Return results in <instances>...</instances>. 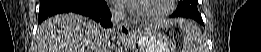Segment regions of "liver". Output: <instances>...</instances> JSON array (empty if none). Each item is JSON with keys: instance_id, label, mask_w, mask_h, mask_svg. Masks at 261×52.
<instances>
[{"instance_id": "1", "label": "liver", "mask_w": 261, "mask_h": 52, "mask_svg": "<svg viewBox=\"0 0 261 52\" xmlns=\"http://www.w3.org/2000/svg\"><path fill=\"white\" fill-rule=\"evenodd\" d=\"M107 32L87 17L60 14L41 23L34 52H104ZM108 50V49H107Z\"/></svg>"}]
</instances>
